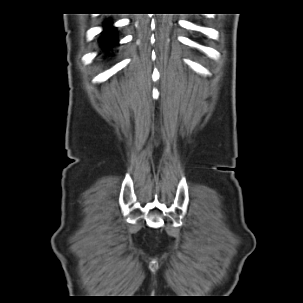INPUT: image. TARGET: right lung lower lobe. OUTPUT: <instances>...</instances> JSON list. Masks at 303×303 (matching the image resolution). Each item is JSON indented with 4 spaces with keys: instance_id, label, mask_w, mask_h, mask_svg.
I'll use <instances>...</instances> for the list:
<instances>
[{
    "instance_id": "obj_1",
    "label": "right lung lower lobe",
    "mask_w": 303,
    "mask_h": 303,
    "mask_svg": "<svg viewBox=\"0 0 303 303\" xmlns=\"http://www.w3.org/2000/svg\"><path fill=\"white\" fill-rule=\"evenodd\" d=\"M115 31L111 25V23L106 24L105 29L103 31V39L102 42L105 46L109 47L115 42L114 39Z\"/></svg>"
}]
</instances>
